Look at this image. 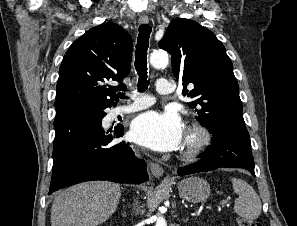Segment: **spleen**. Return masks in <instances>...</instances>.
<instances>
[{"label":"spleen","mask_w":297,"mask_h":226,"mask_svg":"<svg viewBox=\"0 0 297 226\" xmlns=\"http://www.w3.org/2000/svg\"><path fill=\"white\" fill-rule=\"evenodd\" d=\"M231 181L239 196L235 201V212L244 219H257L261 214L262 204L256 191L242 179L232 178Z\"/></svg>","instance_id":"3e777b00"}]
</instances>
